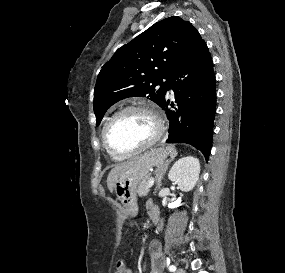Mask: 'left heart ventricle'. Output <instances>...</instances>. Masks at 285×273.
Returning a JSON list of instances; mask_svg holds the SVG:
<instances>
[{"mask_svg": "<svg viewBox=\"0 0 285 273\" xmlns=\"http://www.w3.org/2000/svg\"><path fill=\"white\" fill-rule=\"evenodd\" d=\"M156 132V125L150 115L130 111L119 116L108 134L111 145L120 151L135 149L149 141Z\"/></svg>", "mask_w": 285, "mask_h": 273, "instance_id": "obj_1", "label": "left heart ventricle"}]
</instances>
